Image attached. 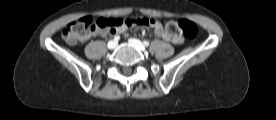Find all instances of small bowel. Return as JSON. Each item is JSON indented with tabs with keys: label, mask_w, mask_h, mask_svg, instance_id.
<instances>
[{
	"label": "small bowel",
	"mask_w": 276,
	"mask_h": 120,
	"mask_svg": "<svg viewBox=\"0 0 276 120\" xmlns=\"http://www.w3.org/2000/svg\"><path fill=\"white\" fill-rule=\"evenodd\" d=\"M150 27L154 30V32L157 36L163 38L164 40L172 42L174 44L182 43V38L180 36H170V35H168L164 31L162 24L158 20L153 19L152 24H151ZM124 30H125V27H122V28L118 29L117 31H115V33L116 32L117 33L118 32H123ZM106 34H107V32H101V35H103V36L106 35ZM92 35H94V34H90V35L86 36L83 40L89 39Z\"/></svg>",
	"instance_id": "c3829d8e"
}]
</instances>
